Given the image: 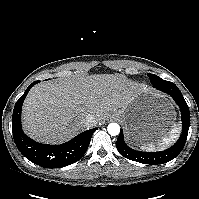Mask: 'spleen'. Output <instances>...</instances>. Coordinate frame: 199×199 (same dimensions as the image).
Returning a JSON list of instances; mask_svg holds the SVG:
<instances>
[{
	"instance_id": "3e777b00",
	"label": "spleen",
	"mask_w": 199,
	"mask_h": 199,
	"mask_svg": "<svg viewBox=\"0 0 199 199\" xmlns=\"http://www.w3.org/2000/svg\"><path fill=\"white\" fill-rule=\"evenodd\" d=\"M179 130L177 127L171 129L170 134L163 136L161 140L156 142L143 143L140 148L148 151L164 150L178 137Z\"/></svg>"
}]
</instances>
